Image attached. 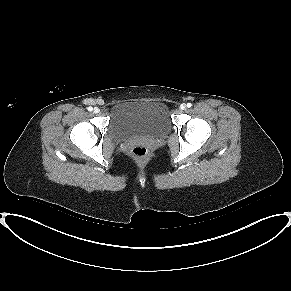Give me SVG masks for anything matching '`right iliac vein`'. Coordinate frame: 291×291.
Instances as JSON below:
<instances>
[{"label":"right iliac vein","mask_w":291,"mask_h":291,"mask_svg":"<svg viewBox=\"0 0 291 291\" xmlns=\"http://www.w3.org/2000/svg\"><path fill=\"white\" fill-rule=\"evenodd\" d=\"M99 112H100V109H99V108H97V107H95V108H94V113H96V114H97V113H99Z\"/></svg>","instance_id":"63e3f726"}]
</instances>
